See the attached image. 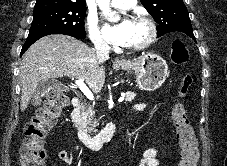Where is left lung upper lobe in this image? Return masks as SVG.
<instances>
[{
	"label": "left lung upper lobe",
	"mask_w": 227,
	"mask_h": 166,
	"mask_svg": "<svg viewBox=\"0 0 227 166\" xmlns=\"http://www.w3.org/2000/svg\"><path fill=\"white\" fill-rule=\"evenodd\" d=\"M159 24L157 36L170 32L193 33L187 8L182 0H140Z\"/></svg>",
	"instance_id": "left-lung-upper-lobe-1"
}]
</instances>
